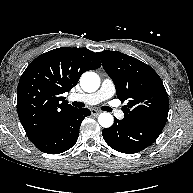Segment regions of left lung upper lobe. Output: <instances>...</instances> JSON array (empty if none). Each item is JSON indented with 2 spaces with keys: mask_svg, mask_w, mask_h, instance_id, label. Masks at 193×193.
<instances>
[{
  "mask_svg": "<svg viewBox=\"0 0 193 193\" xmlns=\"http://www.w3.org/2000/svg\"><path fill=\"white\" fill-rule=\"evenodd\" d=\"M103 68L113 80L118 99H126L123 121L130 124L167 121L168 95L158 74L142 61L104 50L96 53Z\"/></svg>",
  "mask_w": 193,
  "mask_h": 193,
  "instance_id": "5c2ea615",
  "label": "left lung upper lobe"
}]
</instances>
